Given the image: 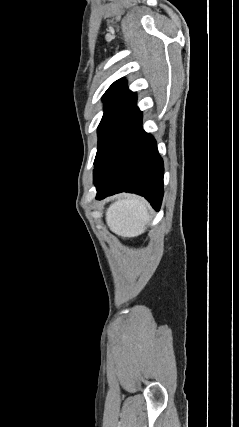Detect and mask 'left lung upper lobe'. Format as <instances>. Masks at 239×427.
Segmentation results:
<instances>
[{
  "instance_id": "left-lung-upper-lobe-1",
  "label": "left lung upper lobe",
  "mask_w": 239,
  "mask_h": 427,
  "mask_svg": "<svg viewBox=\"0 0 239 427\" xmlns=\"http://www.w3.org/2000/svg\"><path fill=\"white\" fill-rule=\"evenodd\" d=\"M104 114L98 127V148L94 163L113 136L138 112L136 93L127 89V81H115L103 96Z\"/></svg>"
}]
</instances>
